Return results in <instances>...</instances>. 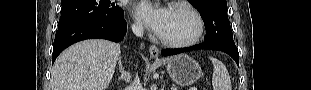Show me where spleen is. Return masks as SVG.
<instances>
[{
    "label": "spleen",
    "mask_w": 311,
    "mask_h": 90,
    "mask_svg": "<svg viewBox=\"0 0 311 90\" xmlns=\"http://www.w3.org/2000/svg\"><path fill=\"white\" fill-rule=\"evenodd\" d=\"M213 64V90H231V80L226 66L218 59L209 57Z\"/></svg>",
    "instance_id": "spleen-1"
}]
</instances>
